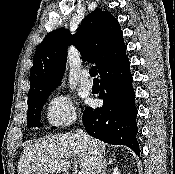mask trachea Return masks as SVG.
I'll return each mask as SVG.
<instances>
[{"label": "trachea", "mask_w": 175, "mask_h": 174, "mask_svg": "<svg viewBox=\"0 0 175 174\" xmlns=\"http://www.w3.org/2000/svg\"><path fill=\"white\" fill-rule=\"evenodd\" d=\"M89 74L91 77H94V80H98L96 67L93 66L90 69Z\"/></svg>", "instance_id": "1"}]
</instances>
